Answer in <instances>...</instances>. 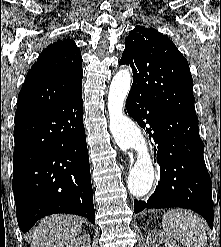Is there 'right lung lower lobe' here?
I'll list each match as a JSON object with an SVG mask.
<instances>
[{
    "mask_svg": "<svg viewBox=\"0 0 221 247\" xmlns=\"http://www.w3.org/2000/svg\"><path fill=\"white\" fill-rule=\"evenodd\" d=\"M12 189L19 228L70 213L95 224L82 93L64 103L16 115Z\"/></svg>",
    "mask_w": 221,
    "mask_h": 247,
    "instance_id": "98d812e1",
    "label": "right lung lower lobe"
}]
</instances>
